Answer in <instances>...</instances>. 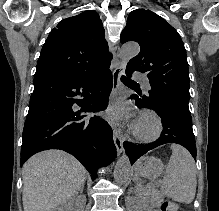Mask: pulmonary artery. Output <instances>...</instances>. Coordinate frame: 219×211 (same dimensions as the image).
Listing matches in <instances>:
<instances>
[{
	"instance_id": "obj_1",
	"label": "pulmonary artery",
	"mask_w": 219,
	"mask_h": 211,
	"mask_svg": "<svg viewBox=\"0 0 219 211\" xmlns=\"http://www.w3.org/2000/svg\"><path fill=\"white\" fill-rule=\"evenodd\" d=\"M142 78H143L142 75H133V76H132V79H133V80H142ZM143 85H144V87H145L146 90H149V89H150V85H149L148 82H144Z\"/></svg>"
}]
</instances>
